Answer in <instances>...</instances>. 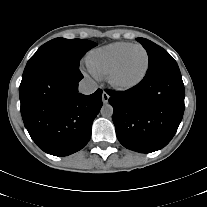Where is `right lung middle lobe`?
I'll return each instance as SVG.
<instances>
[{
	"mask_svg": "<svg viewBox=\"0 0 207 207\" xmlns=\"http://www.w3.org/2000/svg\"><path fill=\"white\" fill-rule=\"evenodd\" d=\"M95 46H97V44L89 40L65 38L52 39L42 45L29 59L23 74L54 62H62L79 67V62L82 56Z\"/></svg>",
	"mask_w": 207,
	"mask_h": 207,
	"instance_id": "obj_1",
	"label": "right lung middle lobe"
}]
</instances>
